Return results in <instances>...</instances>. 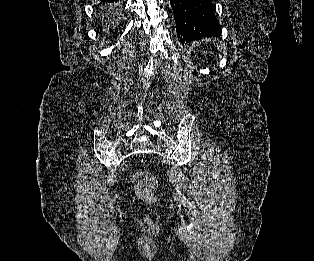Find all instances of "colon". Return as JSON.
<instances>
[{
  "label": "colon",
  "instance_id": "1",
  "mask_svg": "<svg viewBox=\"0 0 314 261\" xmlns=\"http://www.w3.org/2000/svg\"><path fill=\"white\" fill-rule=\"evenodd\" d=\"M137 195L144 201L155 203L157 197L155 195L156 181L154 176L147 171H138L133 175Z\"/></svg>",
  "mask_w": 314,
  "mask_h": 261
}]
</instances>
